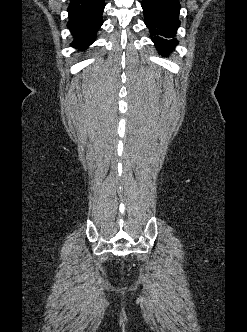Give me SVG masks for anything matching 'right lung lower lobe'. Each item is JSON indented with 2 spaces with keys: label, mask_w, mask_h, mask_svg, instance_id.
<instances>
[{
  "label": "right lung lower lobe",
  "mask_w": 247,
  "mask_h": 332,
  "mask_svg": "<svg viewBox=\"0 0 247 332\" xmlns=\"http://www.w3.org/2000/svg\"><path fill=\"white\" fill-rule=\"evenodd\" d=\"M104 7V0H70L67 27L74 37L72 47L85 50L96 40Z\"/></svg>",
  "instance_id": "right-lung-lower-lobe-1"
}]
</instances>
